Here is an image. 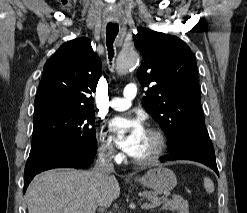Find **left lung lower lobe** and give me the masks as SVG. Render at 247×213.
<instances>
[{
  "label": "left lung lower lobe",
  "mask_w": 247,
  "mask_h": 213,
  "mask_svg": "<svg viewBox=\"0 0 247 213\" xmlns=\"http://www.w3.org/2000/svg\"><path fill=\"white\" fill-rule=\"evenodd\" d=\"M167 160H193L203 163L218 174L215 153L206 127H191L181 139L169 146ZM164 161V158H161Z\"/></svg>",
  "instance_id": "left-lung-lower-lobe-1"
}]
</instances>
